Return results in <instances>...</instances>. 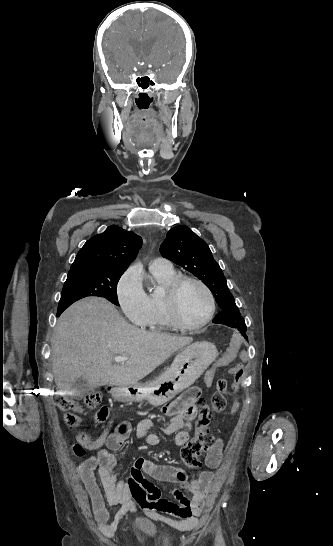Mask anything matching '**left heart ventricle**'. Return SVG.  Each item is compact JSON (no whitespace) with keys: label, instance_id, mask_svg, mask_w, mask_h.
I'll return each instance as SVG.
<instances>
[{"label":"left heart ventricle","instance_id":"b2bd125f","mask_svg":"<svg viewBox=\"0 0 333 546\" xmlns=\"http://www.w3.org/2000/svg\"><path fill=\"white\" fill-rule=\"evenodd\" d=\"M178 312L188 324H197L203 320L209 308L207 295L195 283L184 284L178 294Z\"/></svg>","mask_w":333,"mask_h":546}]
</instances>
